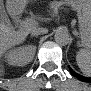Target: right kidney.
<instances>
[{
    "instance_id": "obj_1",
    "label": "right kidney",
    "mask_w": 91,
    "mask_h": 91,
    "mask_svg": "<svg viewBox=\"0 0 91 91\" xmlns=\"http://www.w3.org/2000/svg\"><path fill=\"white\" fill-rule=\"evenodd\" d=\"M34 46H23L13 50H10L6 55V60L10 65H19L26 54L34 49Z\"/></svg>"
}]
</instances>
